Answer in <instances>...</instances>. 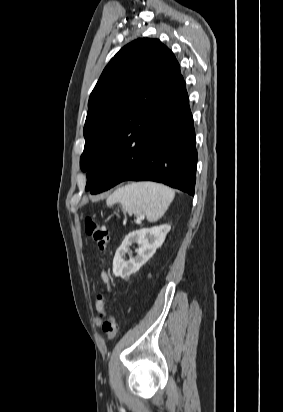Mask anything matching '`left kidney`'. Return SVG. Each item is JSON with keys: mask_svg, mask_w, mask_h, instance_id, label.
<instances>
[{"mask_svg": "<svg viewBox=\"0 0 283 412\" xmlns=\"http://www.w3.org/2000/svg\"><path fill=\"white\" fill-rule=\"evenodd\" d=\"M170 225L164 224L152 228H143L129 233L117 249L113 259V274L116 277L127 278L137 272L163 244ZM138 244L137 255L125 260L129 247Z\"/></svg>", "mask_w": 283, "mask_h": 412, "instance_id": "left-kidney-1", "label": "left kidney"}]
</instances>
